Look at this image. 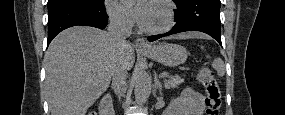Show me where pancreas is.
Masks as SVG:
<instances>
[{
  "label": "pancreas",
  "mask_w": 285,
  "mask_h": 115,
  "mask_svg": "<svg viewBox=\"0 0 285 115\" xmlns=\"http://www.w3.org/2000/svg\"><path fill=\"white\" fill-rule=\"evenodd\" d=\"M167 78L168 79L164 80V84H165V87L167 89L175 88V87H177L178 85H180V84H182L184 82V79L181 78L180 76H170V75H168Z\"/></svg>",
  "instance_id": "pancreas-1"
}]
</instances>
